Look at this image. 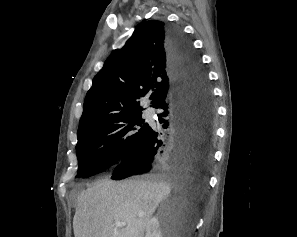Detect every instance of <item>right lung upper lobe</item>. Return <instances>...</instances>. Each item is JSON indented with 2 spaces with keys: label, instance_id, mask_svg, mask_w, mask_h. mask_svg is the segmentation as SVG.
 Returning <instances> with one entry per match:
<instances>
[{
  "label": "right lung upper lobe",
  "instance_id": "right-lung-upper-lobe-1",
  "mask_svg": "<svg viewBox=\"0 0 297 237\" xmlns=\"http://www.w3.org/2000/svg\"><path fill=\"white\" fill-rule=\"evenodd\" d=\"M164 22L140 24L121 49L114 50L93 79L86 94L78 135L107 118L141 112V99H150L157 108L174 89Z\"/></svg>",
  "mask_w": 297,
  "mask_h": 237
}]
</instances>
